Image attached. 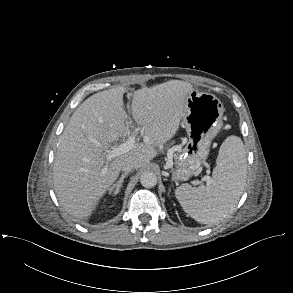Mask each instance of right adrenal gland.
Listing matches in <instances>:
<instances>
[{
	"mask_svg": "<svg viewBox=\"0 0 293 293\" xmlns=\"http://www.w3.org/2000/svg\"><path fill=\"white\" fill-rule=\"evenodd\" d=\"M127 175H128L127 173L122 174V176L119 179V181L111 187L110 192H109L110 194L116 195L117 193H119V191H120V189L122 187L124 178H126Z\"/></svg>",
	"mask_w": 293,
	"mask_h": 293,
	"instance_id": "obj_1",
	"label": "right adrenal gland"
}]
</instances>
